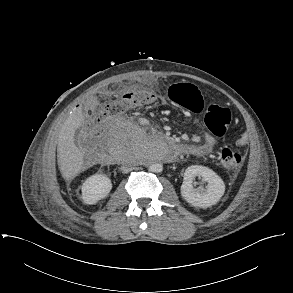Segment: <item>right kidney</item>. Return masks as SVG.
Listing matches in <instances>:
<instances>
[{"label":"right kidney","mask_w":293,"mask_h":293,"mask_svg":"<svg viewBox=\"0 0 293 293\" xmlns=\"http://www.w3.org/2000/svg\"><path fill=\"white\" fill-rule=\"evenodd\" d=\"M112 189L111 180L104 174L88 177L82 185V200L86 204H95L105 198Z\"/></svg>","instance_id":"ca27d5eb"}]
</instances>
